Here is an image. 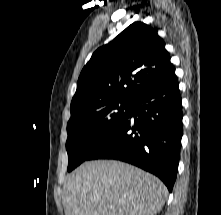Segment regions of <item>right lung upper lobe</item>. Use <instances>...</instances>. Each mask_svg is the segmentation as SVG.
<instances>
[{
	"mask_svg": "<svg viewBox=\"0 0 221 215\" xmlns=\"http://www.w3.org/2000/svg\"><path fill=\"white\" fill-rule=\"evenodd\" d=\"M174 74L156 30L134 22L93 53L79 76L71 107L110 99L134 100Z\"/></svg>",
	"mask_w": 221,
	"mask_h": 215,
	"instance_id": "1",
	"label": "right lung upper lobe"
}]
</instances>
